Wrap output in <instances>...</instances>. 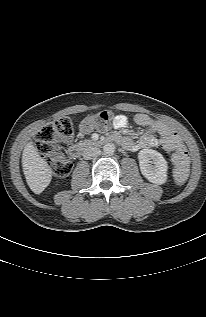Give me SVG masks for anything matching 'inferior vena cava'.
Listing matches in <instances>:
<instances>
[{"mask_svg":"<svg viewBox=\"0 0 206 317\" xmlns=\"http://www.w3.org/2000/svg\"><path fill=\"white\" fill-rule=\"evenodd\" d=\"M100 149L95 146H87L83 150V158L86 160L92 159L100 154Z\"/></svg>","mask_w":206,"mask_h":317,"instance_id":"obj_1","label":"inferior vena cava"}]
</instances>
